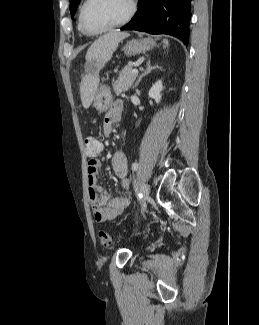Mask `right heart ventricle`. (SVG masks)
<instances>
[{
  "instance_id": "right-heart-ventricle-1",
  "label": "right heart ventricle",
  "mask_w": 259,
  "mask_h": 325,
  "mask_svg": "<svg viewBox=\"0 0 259 325\" xmlns=\"http://www.w3.org/2000/svg\"><path fill=\"white\" fill-rule=\"evenodd\" d=\"M78 29H79V31H81L83 34H86V33L81 29L79 22H78ZM86 35H87V34H86Z\"/></svg>"
}]
</instances>
